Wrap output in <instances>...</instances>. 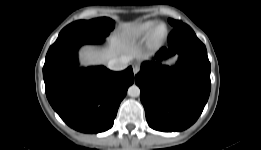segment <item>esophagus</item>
Returning a JSON list of instances; mask_svg holds the SVG:
<instances>
[{"label":"esophagus","instance_id":"obj_1","mask_svg":"<svg viewBox=\"0 0 261 150\" xmlns=\"http://www.w3.org/2000/svg\"><path fill=\"white\" fill-rule=\"evenodd\" d=\"M140 71V66L138 64L133 65V73L136 75Z\"/></svg>","mask_w":261,"mask_h":150}]
</instances>
